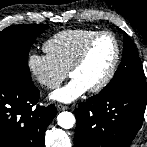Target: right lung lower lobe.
Returning a JSON list of instances; mask_svg holds the SVG:
<instances>
[{
  "label": "right lung lower lobe",
  "mask_w": 147,
  "mask_h": 147,
  "mask_svg": "<svg viewBox=\"0 0 147 147\" xmlns=\"http://www.w3.org/2000/svg\"><path fill=\"white\" fill-rule=\"evenodd\" d=\"M39 96L33 82L0 78V147H44L45 131L56 115V107L32 108Z\"/></svg>",
  "instance_id": "obj_1"
}]
</instances>
